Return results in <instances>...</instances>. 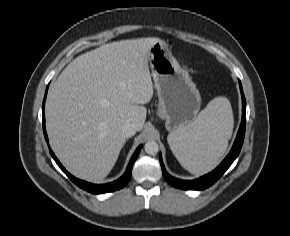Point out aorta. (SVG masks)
<instances>
[{
    "label": "aorta",
    "mask_w": 290,
    "mask_h": 236,
    "mask_svg": "<svg viewBox=\"0 0 290 236\" xmlns=\"http://www.w3.org/2000/svg\"><path fill=\"white\" fill-rule=\"evenodd\" d=\"M145 152L149 155H155L159 151L158 143L154 140L147 141L144 146Z\"/></svg>",
    "instance_id": "aorta-1"
}]
</instances>
